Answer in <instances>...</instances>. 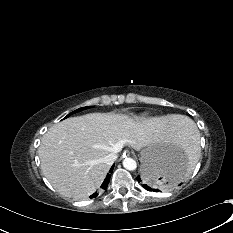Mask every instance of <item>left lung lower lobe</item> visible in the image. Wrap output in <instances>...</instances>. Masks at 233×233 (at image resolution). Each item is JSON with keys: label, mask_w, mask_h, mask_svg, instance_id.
I'll return each instance as SVG.
<instances>
[{"label": "left lung lower lobe", "mask_w": 233, "mask_h": 233, "mask_svg": "<svg viewBox=\"0 0 233 233\" xmlns=\"http://www.w3.org/2000/svg\"><path fill=\"white\" fill-rule=\"evenodd\" d=\"M181 176L180 159L169 157L152 161L137 181L148 191H159V188L168 187L179 182ZM155 180L154 182H152Z\"/></svg>", "instance_id": "left-lung-lower-lobe-1"}]
</instances>
